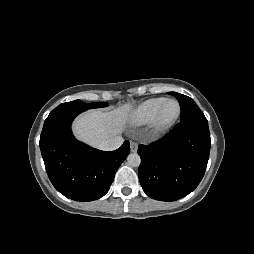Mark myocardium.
<instances>
[{"label":"myocardium","instance_id":"1","mask_svg":"<svg viewBox=\"0 0 254 254\" xmlns=\"http://www.w3.org/2000/svg\"><path fill=\"white\" fill-rule=\"evenodd\" d=\"M170 102H174L177 104V112L172 119H170L168 121H164L163 120V113H164L166 105ZM180 114H181V106H180V103L178 102V100L166 99L165 102L160 107V109L158 110V112L156 113V115L154 116V118L152 119V121L150 122L151 132L154 135H160V134L167 132L177 122V120L180 117Z\"/></svg>","mask_w":254,"mask_h":254}]
</instances>
